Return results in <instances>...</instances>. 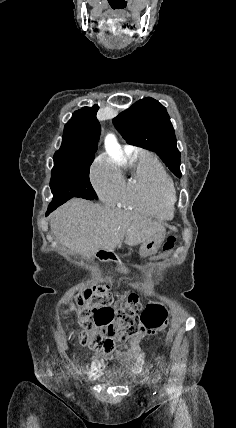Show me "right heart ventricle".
<instances>
[{"instance_id":"1","label":"right heart ventricle","mask_w":236,"mask_h":428,"mask_svg":"<svg viewBox=\"0 0 236 428\" xmlns=\"http://www.w3.org/2000/svg\"><path fill=\"white\" fill-rule=\"evenodd\" d=\"M125 164L132 173L124 181L122 201L155 218H173L177 196L175 182L157 158L139 149L130 154Z\"/></svg>"}]
</instances>
